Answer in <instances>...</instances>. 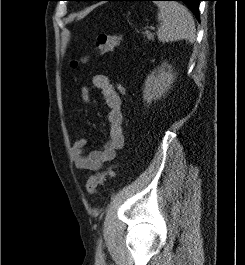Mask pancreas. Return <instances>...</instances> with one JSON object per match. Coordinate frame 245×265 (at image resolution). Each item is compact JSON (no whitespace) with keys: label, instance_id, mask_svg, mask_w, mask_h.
<instances>
[{"label":"pancreas","instance_id":"pancreas-1","mask_svg":"<svg viewBox=\"0 0 245 265\" xmlns=\"http://www.w3.org/2000/svg\"><path fill=\"white\" fill-rule=\"evenodd\" d=\"M146 36H147V39L148 40H153L154 39V36L150 33H146Z\"/></svg>","mask_w":245,"mask_h":265}]
</instances>
